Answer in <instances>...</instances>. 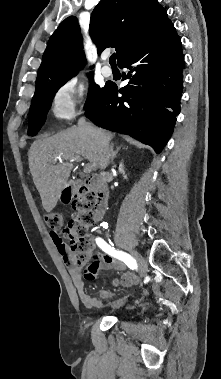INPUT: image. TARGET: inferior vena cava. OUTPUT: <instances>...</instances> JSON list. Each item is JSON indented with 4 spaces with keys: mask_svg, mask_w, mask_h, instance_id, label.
<instances>
[{
    "mask_svg": "<svg viewBox=\"0 0 221 379\" xmlns=\"http://www.w3.org/2000/svg\"><path fill=\"white\" fill-rule=\"evenodd\" d=\"M78 127L85 129L90 134L95 136L100 141V149H99V161L98 166L101 170H104L109 164L110 158V149L107 140L104 137V134L101 130L94 128L88 122H86L85 117H81L78 121ZM103 174V172H101Z\"/></svg>",
    "mask_w": 221,
    "mask_h": 379,
    "instance_id": "obj_1",
    "label": "inferior vena cava"
}]
</instances>
